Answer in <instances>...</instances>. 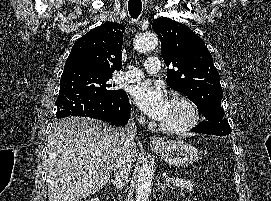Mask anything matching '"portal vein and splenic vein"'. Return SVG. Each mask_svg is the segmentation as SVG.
Instances as JSON below:
<instances>
[{"instance_id":"portal-vein-and-splenic-vein-1","label":"portal vein and splenic vein","mask_w":271,"mask_h":201,"mask_svg":"<svg viewBox=\"0 0 271 201\" xmlns=\"http://www.w3.org/2000/svg\"><path fill=\"white\" fill-rule=\"evenodd\" d=\"M173 181H174L173 178H167V179H166V182H173Z\"/></svg>"}]
</instances>
